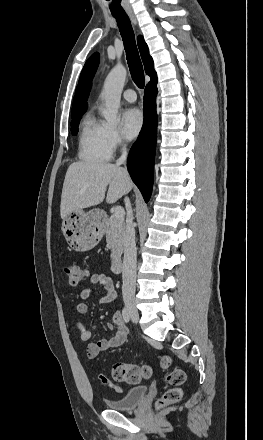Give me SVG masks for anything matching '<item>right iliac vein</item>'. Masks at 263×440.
Instances as JSON below:
<instances>
[{"instance_id": "obj_1", "label": "right iliac vein", "mask_w": 263, "mask_h": 440, "mask_svg": "<svg viewBox=\"0 0 263 440\" xmlns=\"http://www.w3.org/2000/svg\"><path fill=\"white\" fill-rule=\"evenodd\" d=\"M125 306L127 311L129 312L132 321L134 323H137L139 321V313L135 306L134 300L130 298L125 299Z\"/></svg>"}]
</instances>
